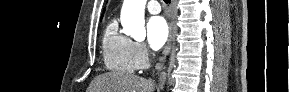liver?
<instances>
[{"label": "liver", "instance_id": "6515ba94", "mask_svg": "<svg viewBox=\"0 0 289 92\" xmlns=\"http://www.w3.org/2000/svg\"><path fill=\"white\" fill-rule=\"evenodd\" d=\"M154 83L131 74L109 72L91 82L88 92H154Z\"/></svg>", "mask_w": 289, "mask_h": 92}]
</instances>
